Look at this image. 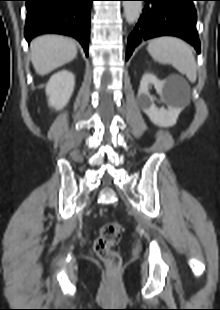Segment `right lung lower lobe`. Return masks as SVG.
Wrapping results in <instances>:
<instances>
[{
	"label": "right lung lower lobe",
	"instance_id": "obj_1",
	"mask_svg": "<svg viewBox=\"0 0 220 310\" xmlns=\"http://www.w3.org/2000/svg\"><path fill=\"white\" fill-rule=\"evenodd\" d=\"M25 38L57 33L77 39L88 56L90 8L93 0H25Z\"/></svg>",
	"mask_w": 220,
	"mask_h": 310
}]
</instances>
